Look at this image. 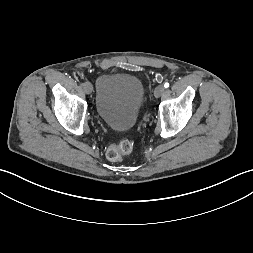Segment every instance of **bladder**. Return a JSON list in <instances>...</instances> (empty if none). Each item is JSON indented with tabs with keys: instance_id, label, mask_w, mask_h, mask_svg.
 I'll use <instances>...</instances> for the list:
<instances>
[{
	"instance_id": "1",
	"label": "bladder",
	"mask_w": 253,
	"mask_h": 253,
	"mask_svg": "<svg viewBox=\"0 0 253 253\" xmlns=\"http://www.w3.org/2000/svg\"><path fill=\"white\" fill-rule=\"evenodd\" d=\"M144 102L145 88L135 75L105 73L97 80L96 112L113 129L132 128Z\"/></svg>"
}]
</instances>
